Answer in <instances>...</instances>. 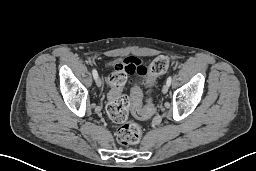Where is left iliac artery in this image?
Returning a JSON list of instances; mask_svg holds the SVG:
<instances>
[{
  "mask_svg": "<svg viewBox=\"0 0 256 171\" xmlns=\"http://www.w3.org/2000/svg\"><path fill=\"white\" fill-rule=\"evenodd\" d=\"M171 81H172V77L169 76V77L167 78L166 84H168V86H170Z\"/></svg>",
  "mask_w": 256,
  "mask_h": 171,
  "instance_id": "44dca946",
  "label": "left iliac artery"
}]
</instances>
